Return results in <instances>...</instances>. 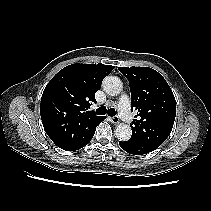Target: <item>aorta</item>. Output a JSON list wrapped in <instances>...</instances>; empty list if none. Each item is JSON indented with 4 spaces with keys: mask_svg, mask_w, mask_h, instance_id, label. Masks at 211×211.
Here are the masks:
<instances>
[{
    "mask_svg": "<svg viewBox=\"0 0 211 211\" xmlns=\"http://www.w3.org/2000/svg\"><path fill=\"white\" fill-rule=\"evenodd\" d=\"M102 87L106 94L117 96L122 91V82L116 76H107L103 79ZM115 135L120 141H128L132 135L131 127L121 123L115 128Z\"/></svg>",
    "mask_w": 211,
    "mask_h": 211,
    "instance_id": "obj_1",
    "label": "aorta"
}]
</instances>
